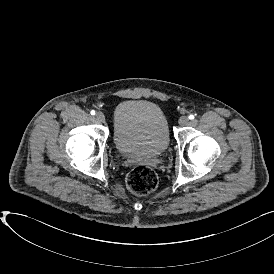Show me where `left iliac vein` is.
I'll return each instance as SVG.
<instances>
[{"mask_svg": "<svg viewBox=\"0 0 274 274\" xmlns=\"http://www.w3.org/2000/svg\"><path fill=\"white\" fill-rule=\"evenodd\" d=\"M189 123V118L187 117V116H181L180 118H179V124L181 125V126H185V125H187Z\"/></svg>", "mask_w": 274, "mask_h": 274, "instance_id": "1", "label": "left iliac vein"}]
</instances>
